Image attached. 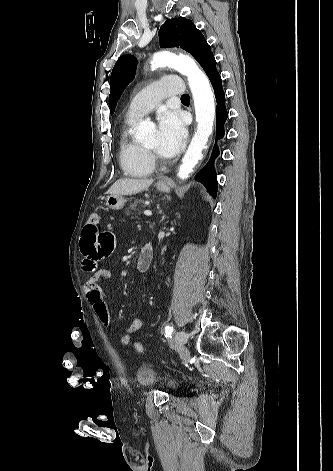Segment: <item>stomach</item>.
Returning <instances> with one entry per match:
<instances>
[{"instance_id":"0dacf381","label":"stomach","mask_w":333,"mask_h":471,"mask_svg":"<svg viewBox=\"0 0 333 471\" xmlns=\"http://www.w3.org/2000/svg\"><path fill=\"white\" fill-rule=\"evenodd\" d=\"M157 190L167 193L170 191V184L168 182L159 181L156 183ZM125 204L123 195L111 194L106 199V206L112 210L122 209Z\"/></svg>"}]
</instances>
